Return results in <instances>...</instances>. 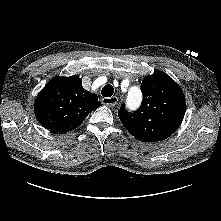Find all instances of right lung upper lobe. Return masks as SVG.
I'll return each instance as SVG.
<instances>
[{
  "instance_id": "right-lung-upper-lobe-1",
  "label": "right lung upper lobe",
  "mask_w": 221,
  "mask_h": 221,
  "mask_svg": "<svg viewBox=\"0 0 221 221\" xmlns=\"http://www.w3.org/2000/svg\"><path fill=\"white\" fill-rule=\"evenodd\" d=\"M100 106L97 95L86 91L79 77H55L38 94L35 115L46 129L65 133L80 126Z\"/></svg>"
}]
</instances>
